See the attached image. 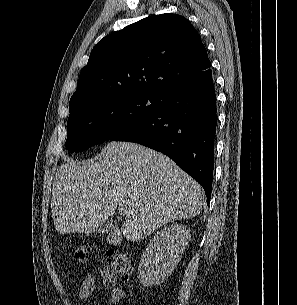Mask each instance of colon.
Returning a JSON list of instances; mask_svg holds the SVG:
<instances>
[{"label": "colon", "mask_w": 297, "mask_h": 305, "mask_svg": "<svg viewBox=\"0 0 297 305\" xmlns=\"http://www.w3.org/2000/svg\"><path fill=\"white\" fill-rule=\"evenodd\" d=\"M89 248L86 246L78 247L74 252V257L77 262H83L87 258ZM109 271L114 277L119 279H128L134 272V264L129 254L111 251L108 257Z\"/></svg>", "instance_id": "1"}]
</instances>
